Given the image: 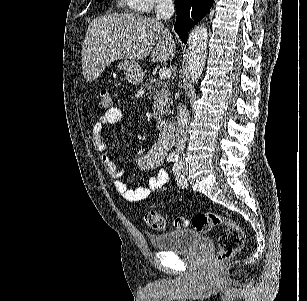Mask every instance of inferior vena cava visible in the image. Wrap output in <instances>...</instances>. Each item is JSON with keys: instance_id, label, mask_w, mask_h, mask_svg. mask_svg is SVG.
Instances as JSON below:
<instances>
[{"instance_id": "obj_1", "label": "inferior vena cava", "mask_w": 307, "mask_h": 301, "mask_svg": "<svg viewBox=\"0 0 307 301\" xmlns=\"http://www.w3.org/2000/svg\"><path fill=\"white\" fill-rule=\"evenodd\" d=\"M174 12L175 6L173 0H157L155 4L156 20H167V18H171V16H173ZM189 118V112L185 104H183V102H179L175 134V151L177 155L183 153L184 148H186Z\"/></svg>"}]
</instances>
